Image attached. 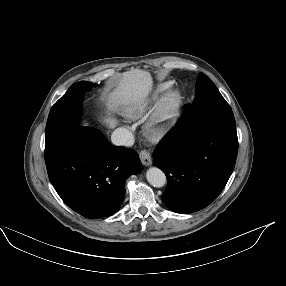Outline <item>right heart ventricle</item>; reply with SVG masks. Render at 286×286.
Listing matches in <instances>:
<instances>
[{"label": "right heart ventricle", "mask_w": 286, "mask_h": 286, "mask_svg": "<svg viewBox=\"0 0 286 286\" xmlns=\"http://www.w3.org/2000/svg\"><path fill=\"white\" fill-rule=\"evenodd\" d=\"M171 82H163L152 90L132 96L124 106V114L130 118L142 117L170 88Z\"/></svg>", "instance_id": "right-heart-ventricle-1"}]
</instances>
